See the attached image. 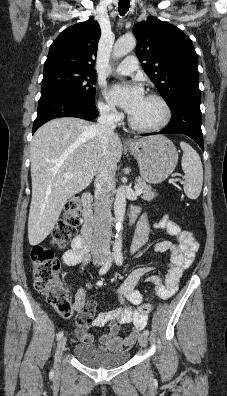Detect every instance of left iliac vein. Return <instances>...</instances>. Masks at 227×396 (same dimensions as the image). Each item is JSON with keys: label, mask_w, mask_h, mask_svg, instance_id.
Here are the masks:
<instances>
[{"label": "left iliac vein", "mask_w": 227, "mask_h": 396, "mask_svg": "<svg viewBox=\"0 0 227 396\" xmlns=\"http://www.w3.org/2000/svg\"><path fill=\"white\" fill-rule=\"evenodd\" d=\"M138 342L140 344V346L142 347H146L147 343H148V338L146 335L141 334L138 338Z\"/></svg>", "instance_id": "left-iliac-vein-1"}]
</instances>
